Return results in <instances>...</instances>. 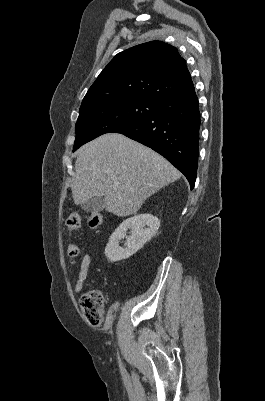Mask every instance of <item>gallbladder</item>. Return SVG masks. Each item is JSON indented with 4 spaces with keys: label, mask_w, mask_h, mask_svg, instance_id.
Masks as SVG:
<instances>
[{
    "label": "gallbladder",
    "mask_w": 265,
    "mask_h": 401,
    "mask_svg": "<svg viewBox=\"0 0 265 401\" xmlns=\"http://www.w3.org/2000/svg\"><path fill=\"white\" fill-rule=\"evenodd\" d=\"M83 211H88V213H99L104 209V196H93V198H88V201H84L80 205Z\"/></svg>",
    "instance_id": "1"
}]
</instances>
